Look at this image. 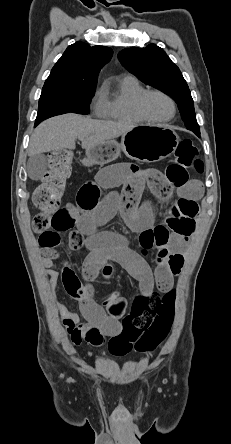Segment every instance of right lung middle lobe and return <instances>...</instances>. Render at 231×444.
I'll return each mask as SVG.
<instances>
[{
    "label": "right lung middle lobe",
    "mask_w": 231,
    "mask_h": 444,
    "mask_svg": "<svg viewBox=\"0 0 231 444\" xmlns=\"http://www.w3.org/2000/svg\"><path fill=\"white\" fill-rule=\"evenodd\" d=\"M95 88L68 89L48 88L42 89L39 99L38 114L35 126L44 119L55 115L74 112L88 114V104L94 95Z\"/></svg>",
    "instance_id": "dd1d6c3e"
}]
</instances>
